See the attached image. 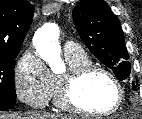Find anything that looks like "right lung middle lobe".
<instances>
[{
  "mask_svg": "<svg viewBox=\"0 0 142 119\" xmlns=\"http://www.w3.org/2000/svg\"><path fill=\"white\" fill-rule=\"evenodd\" d=\"M18 53L0 54V100L16 102L14 67Z\"/></svg>",
  "mask_w": 142,
  "mask_h": 119,
  "instance_id": "dd1d6c3e",
  "label": "right lung middle lobe"
}]
</instances>
